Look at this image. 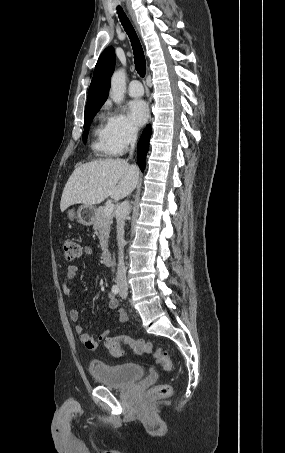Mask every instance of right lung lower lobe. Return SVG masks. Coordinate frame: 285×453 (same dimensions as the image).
<instances>
[{"instance_id": "obj_1", "label": "right lung lower lobe", "mask_w": 285, "mask_h": 453, "mask_svg": "<svg viewBox=\"0 0 285 453\" xmlns=\"http://www.w3.org/2000/svg\"><path fill=\"white\" fill-rule=\"evenodd\" d=\"M151 136V127L148 125L145 130L143 131L140 140L137 144V157H138V165L141 171H144L145 168V159L146 154L149 148V140Z\"/></svg>"}]
</instances>
